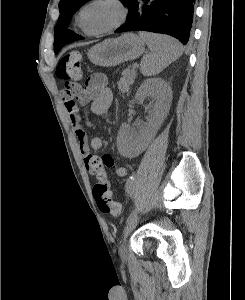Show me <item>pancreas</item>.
I'll use <instances>...</instances> for the list:
<instances>
[{"label":"pancreas","mask_w":245,"mask_h":300,"mask_svg":"<svg viewBox=\"0 0 245 300\" xmlns=\"http://www.w3.org/2000/svg\"><path fill=\"white\" fill-rule=\"evenodd\" d=\"M135 77H136V72L134 69L128 68L122 72V77L117 83L121 93L124 94L129 91V87L130 85L133 84Z\"/></svg>","instance_id":"obj_1"}]
</instances>
